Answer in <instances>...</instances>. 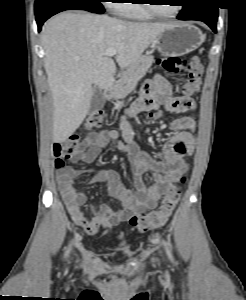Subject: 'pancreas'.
Masks as SVG:
<instances>
[{
  "mask_svg": "<svg viewBox=\"0 0 246 300\" xmlns=\"http://www.w3.org/2000/svg\"><path fill=\"white\" fill-rule=\"evenodd\" d=\"M154 58L152 55H143L135 61L127 70L122 74L120 79L116 82L111 96L116 100L125 98L131 93L137 82L145 76L148 69L151 67Z\"/></svg>",
  "mask_w": 246,
  "mask_h": 300,
  "instance_id": "pancreas-1",
  "label": "pancreas"
}]
</instances>
